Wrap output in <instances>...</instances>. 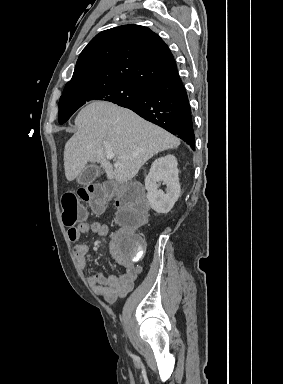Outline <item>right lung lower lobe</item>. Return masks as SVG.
<instances>
[{"mask_svg": "<svg viewBox=\"0 0 283 384\" xmlns=\"http://www.w3.org/2000/svg\"><path fill=\"white\" fill-rule=\"evenodd\" d=\"M118 105L178 136L195 150L191 109L178 73L151 85L141 98Z\"/></svg>", "mask_w": 283, "mask_h": 384, "instance_id": "1", "label": "right lung lower lobe"}]
</instances>
